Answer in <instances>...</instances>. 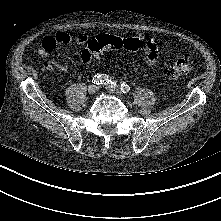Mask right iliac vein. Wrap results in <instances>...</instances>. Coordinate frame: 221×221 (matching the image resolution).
Segmentation results:
<instances>
[{
  "label": "right iliac vein",
  "mask_w": 221,
  "mask_h": 221,
  "mask_svg": "<svg viewBox=\"0 0 221 221\" xmlns=\"http://www.w3.org/2000/svg\"><path fill=\"white\" fill-rule=\"evenodd\" d=\"M98 89H99V87H98L97 85H95V84L90 85V86L88 87V93H89L90 95H93V94H95V93L98 91Z\"/></svg>",
  "instance_id": "63e3f726"
}]
</instances>
